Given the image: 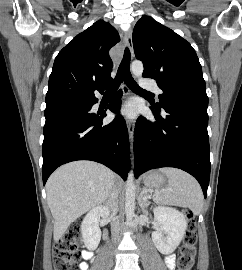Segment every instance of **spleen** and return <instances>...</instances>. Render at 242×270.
<instances>
[{"instance_id":"obj_1","label":"spleen","mask_w":242,"mask_h":270,"mask_svg":"<svg viewBox=\"0 0 242 270\" xmlns=\"http://www.w3.org/2000/svg\"><path fill=\"white\" fill-rule=\"evenodd\" d=\"M168 186L157 191L155 200L161 204L188 207L195 215L203 208V193L200 185L188 173L176 168H163Z\"/></svg>"}]
</instances>
